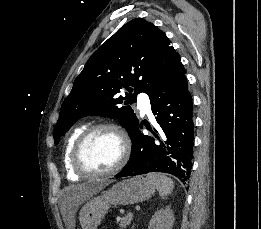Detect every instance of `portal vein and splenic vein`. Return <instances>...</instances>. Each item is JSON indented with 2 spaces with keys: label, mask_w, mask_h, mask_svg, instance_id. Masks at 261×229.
Instances as JSON below:
<instances>
[{
  "label": "portal vein and splenic vein",
  "mask_w": 261,
  "mask_h": 229,
  "mask_svg": "<svg viewBox=\"0 0 261 229\" xmlns=\"http://www.w3.org/2000/svg\"><path fill=\"white\" fill-rule=\"evenodd\" d=\"M128 217H133L132 213H129Z\"/></svg>",
  "instance_id": "1"
}]
</instances>
